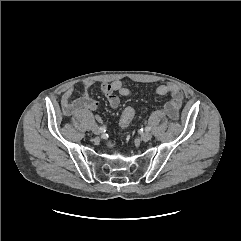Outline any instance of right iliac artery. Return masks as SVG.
Masks as SVG:
<instances>
[{
  "mask_svg": "<svg viewBox=\"0 0 241 241\" xmlns=\"http://www.w3.org/2000/svg\"><path fill=\"white\" fill-rule=\"evenodd\" d=\"M106 129H107V128H106L105 126H101V127H100L101 132H106Z\"/></svg>",
  "mask_w": 241,
  "mask_h": 241,
  "instance_id": "obj_1",
  "label": "right iliac artery"
}]
</instances>
